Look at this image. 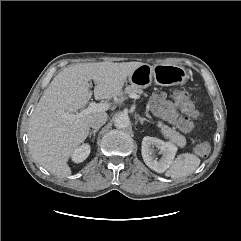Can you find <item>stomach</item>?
<instances>
[{"mask_svg": "<svg viewBox=\"0 0 241 241\" xmlns=\"http://www.w3.org/2000/svg\"><path fill=\"white\" fill-rule=\"evenodd\" d=\"M189 76L184 67L175 64H142L129 76V82L147 88L154 81L161 86L183 85Z\"/></svg>", "mask_w": 241, "mask_h": 241, "instance_id": "obj_1", "label": "stomach"}]
</instances>
